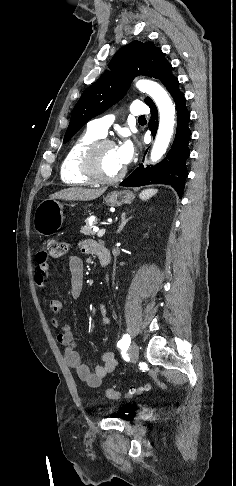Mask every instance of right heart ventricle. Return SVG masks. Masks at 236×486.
I'll use <instances>...</instances> for the list:
<instances>
[{
	"label": "right heart ventricle",
	"mask_w": 236,
	"mask_h": 486,
	"mask_svg": "<svg viewBox=\"0 0 236 486\" xmlns=\"http://www.w3.org/2000/svg\"><path fill=\"white\" fill-rule=\"evenodd\" d=\"M102 136L87 129L80 134L70 145L60 168L61 180L67 185L86 186L92 182L88 180L80 170V159L85 148Z\"/></svg>",
	"instance_id": "right-heart-ventricle-1"
}]
</instances>
